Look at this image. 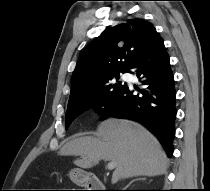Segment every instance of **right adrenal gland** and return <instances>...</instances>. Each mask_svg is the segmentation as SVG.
<instances>
[{
  "label": "right adrenal gland",
  "instance_id": "1",
  "mask_svg": "<svg viewBox=\"0 0 210 191\" xmlns=\"http://www.w3.org/2000/svg\"><path fill=\"white\" fill-rule=\"evenodd\" d=\"M138 180H145V178H137V179H134L126 187H129L133 182L138 181Z\"/></svg>",
  "mask_w": 210,
  "mask_h": 191
}]
</instances>
